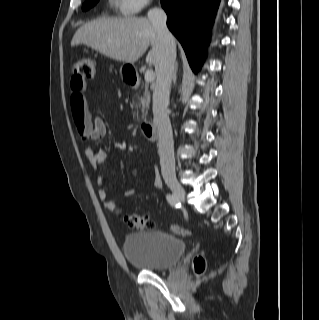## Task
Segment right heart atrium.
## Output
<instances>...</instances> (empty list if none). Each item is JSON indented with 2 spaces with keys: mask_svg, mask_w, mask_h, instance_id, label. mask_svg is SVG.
<instances>
[{
  "mask_svg": "<svg viewBox=\"0 0 319 320\" xmlns=\"http://www.w3.org/2000/svg\"><path fill=\"white\" fill-rule=\"evenodd\" d=\"M115 8L125 15H134L140 12L150 0H111Z\"/></svg>",
  "mask_w": 319,
  "mask_h": 320,
  "instance_id": "d8ad5b80",
  "label": "right heart atrium"
}]
</instances>
